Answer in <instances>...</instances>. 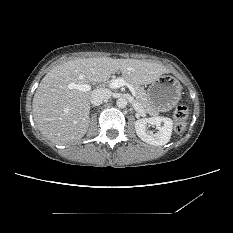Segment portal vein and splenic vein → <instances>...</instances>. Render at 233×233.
<instances>
[{
	"instance_id": "portal-vein-and-splenic-vein-1",
	"label": "portal vein and splenic vein",
	"mask_w": 233,
	"mask_h": 233,
	"mask_svg": "<svg viewBox=\"0 0 233 233\" xmlns=\"http://www.w3.org/2000/svg\"><path fill=\"white\" fill-rule=\"evenodd\" d=\"M122 86H127L129 88V90L131 91L132 95L136 96L135 88L130 83H127L123 78L114 79L109 83V87L112 89H117V88H120ZM68 87L70 89H78L80 91H90L91 90V85H89V84L71 83L68 85Z\"/></svg>"
}]
</instances>
